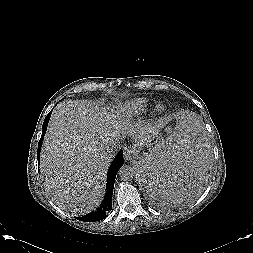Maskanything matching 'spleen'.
Segmentation results:
<instances>
[{
	"label": "spleen",
	"instance_id": "1",
	"mask_svg": "<svg viewBox=\"0 0 253 253\" xmlns=\"http://www.w3.org/2000/svg\"><path fill=\"white\" fill-rule=\"evenodd\" d=\"M208 127L196 112L176 115L159 143L157 160L146 174V187L156 200L179 203L201 186L210 159Z\"/></svg>",
	"mask_w": 253,
	"mask_h": 253
}]
</instances>
